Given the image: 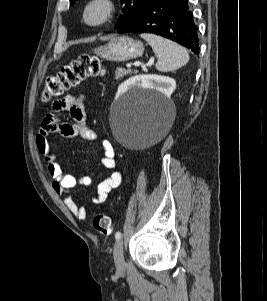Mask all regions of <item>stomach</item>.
I'll list each match as a JSON object with an SVG mask.
<instances>
[{
    "label": "stomach",
    "instance_id": "0dacf381",
    "mask_svg": "<svg viewBox=\"0 0 267 301\" xmlns=\"http://www.w3.org/2000/svg\"><path fill=\"white\" fill-rule=\"evenodd\" d=\"M94 52L97 56L107 61L123 62L142 56L144 46L141 41L127 36H120L96 48Z\"/></svg>",
    "mask_w": 267,
    "mask_h": 301
}]
</instances>
